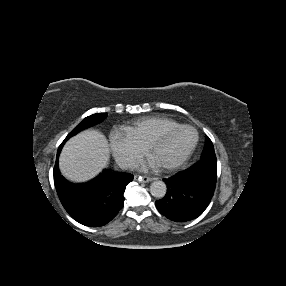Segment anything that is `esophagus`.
Returning <instances> with one entry per match:
<instances>
[{"mask_svg":"<svg viewBox=\"0 0 286 286\" xmlns=\"http://www.w3.org/2000/svg\"><path fill=\"white\" fill-rule=\"evenodd\" d=\"M135 180H138L139 182L147 183L152 181V178L149 176H135Z\"/></svg>","mask_w":286,"mask_h":286,"instance_id":"1","label":"esophagus"}]
</instances>
